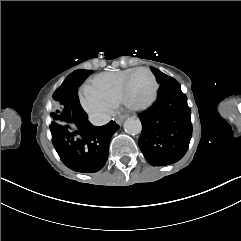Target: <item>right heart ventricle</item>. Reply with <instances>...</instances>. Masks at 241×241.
<instances>
[{"instance_id": "e07e8e85", "label": "right heart ventricle", "mask_w": 241, "mask_h": 241, "mask_svg": "<svg viewBox=\"0 0 241 241\" xmlns=\"http://www.w3.org/2000/svg\"><path fill=\"white\" fill-rule=\"evenodd\" d=\"M134 70L135 69H129L125 71L100 73L91 78L87 84H93L97 88V93L105 96L114 105H117L120 104V95H125L122 93V87H124L125 83L124 81L129 77V74L134 73Z\"/></svg>"}]
</instances>
